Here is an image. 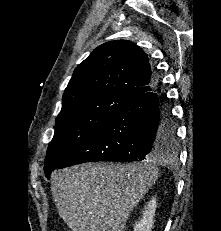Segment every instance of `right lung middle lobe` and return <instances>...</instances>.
<instances>
[{"label":"right lung middle lobe","instance_id":"dd1d6c3e","mask_svg":"<svg viewBox=\"0 0 221 231\" xmlns=\"http://www.w3.org/2000/svg\"><path fill=\"white\" fill-rule=\"evenodd\" d=\"M127 102L129 100L121 97L101 95L62 108L56 119L54 137L48 146L45 174L69 157ZM171 139L175 143V133Z\"/></svg>","mask_w":221,"mask_h":231}]
</instances>
